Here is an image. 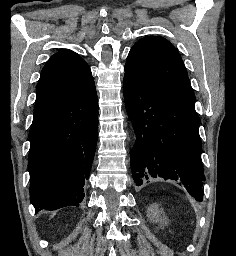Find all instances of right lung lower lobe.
Instances as JSON below:
<instances>
[{
  "instance_id": "1",
  "label": "right lung lower lobe",
  "mask_w": 236,
  "mask_h": 256,
  "mask_svg": "<svg viewBox=\"0 0 236 256\" xmlns=\"http://www.w3.org/2000/svg\"><path fill=\"white\" fill-rule=\"evenodd\" d=\"M98 138L95 83L34 117L29 133L30 200L38 212L79 206Z\"/></svg>"
}]
</instances>
